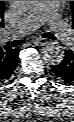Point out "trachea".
I'll list each match as a JSON object with an SVG mask.
<instances>
[{
  "label": "trachea",
  "instance_id": "obj_1",
  "mask_svg": "<svg viewBox=\"0 0 74 122\" xmlns=\"http://www.w3.org/2000/svg\"><path fill=\"white\" fill-rule=\"evenodd\" d=\"M42 37L43 38H47V39H52V40L56 39V37L53 34L49 33V32L44 33L42 35ZM22 43H24L23 39H17V40L12 41L10 44H11L12 47H16V46H18V45H20Z\"/></svg>",
  "mask_w": 74,
  "mask_h": 122
}]
</instances>
